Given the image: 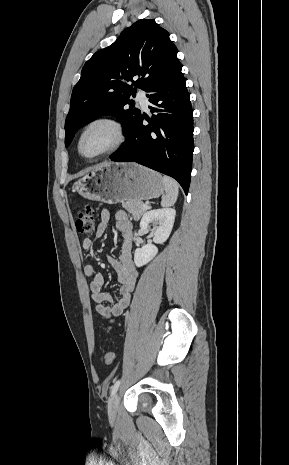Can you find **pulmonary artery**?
<instances>
[{"mask_svg":"<svg viewBox=\"0 0 289 465\" xmlns=\"http://www.w3.org/2000/svg\"><path fill=\"white\" fill-rule=\"evenodd\" d=\"M137 100L140 102L143 108L148 107V98L146 96V93L142 90H140L137 94Z\"/></svg>","mask_w":289,"mask_h":465,"instance_id":"obj_1","label":"pulmonary artery"}]
</instances>
